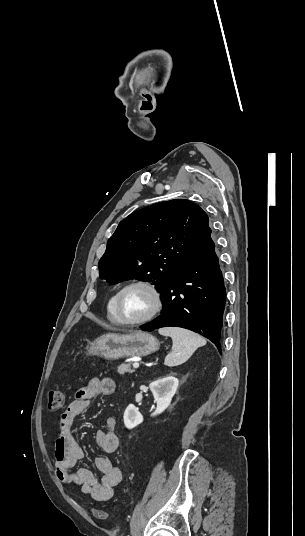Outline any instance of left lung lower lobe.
<instances>
[{
  "label": "left lung lower lobe",
  "instance_id": "obj_1",
  "mask_svg": "<svg viewBox=\"0 0 305 536\" xmlns=\"http://www.w3.org/2000/svg\"><path fill=\"white\" fill-rule=\"evenodd\" d=\"M161 292V315L140 328L143 331L168 326L186 328L210 339L221 353L226 292L212 239Z\"/></svg>",
  "mask_w": 305,
  "mask_h": 536
}]
</instances>
